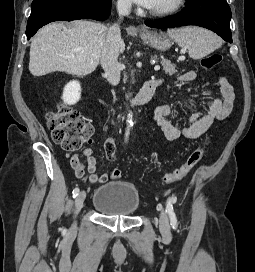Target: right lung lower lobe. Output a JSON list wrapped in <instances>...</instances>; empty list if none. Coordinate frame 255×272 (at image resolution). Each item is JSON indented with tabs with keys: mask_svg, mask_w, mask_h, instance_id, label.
<instances>
[{
	"mask_svg": "<svg viewBox=\"0 0 255 272\" xmlns=\"http://www.w3.org/2000/svg\"><path fill=\"white\" fill-rule=\"evenodd\" d=\"M111 0H33L26 35L30 39L39 28L58 20L90 18L106 20Z\"/></svg>",
	"mask_w": 255,
	"mask_h": 272,
	"instance_id": "obj_1",
	"label": "right lung lower lobe"
}]
</instances>
